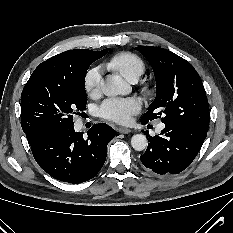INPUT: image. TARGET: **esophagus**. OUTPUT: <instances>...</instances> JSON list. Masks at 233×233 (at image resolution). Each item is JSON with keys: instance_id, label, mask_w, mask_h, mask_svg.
I'll return each instance as SVG.
<instances>
[{"instance_id": "1", "label": "esophagus", "mask_w": 233, "mask_h": 233, "mask_svg": "<svg viewBox=\"0 0 233 233\" xmlns=\"http://www.w3.org/2000/svg\"><path fill=\"white\" fill-rule=\"evenodd\" d=\"M118 131H119L120 133H123V134H128V133L131 132V129H129V128H124V127H120V128L118 129Z\"/></svg>"}]
</instances>
